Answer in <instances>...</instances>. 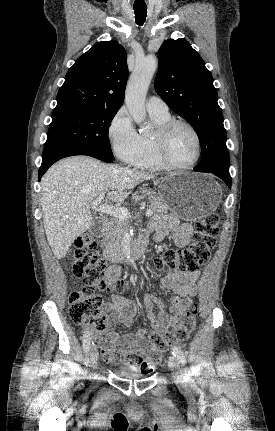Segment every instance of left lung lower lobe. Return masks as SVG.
Returning a JSON list of instances; mask_svg holds the SVG:
<instances>
[{"mask_svg": "<svg viewBox=\"0 0 275 431\" xmlns=\"http://www.w3.org/2000/svg\"><path fill=\"white\" fill-rule=\"evenodd\" d=\"M196 171L199 172H207V173H212L216 176H218L219 178H221L227 185L229 188H231V184H232V180H231V176L229 172L226 171H216V170H210V169H196L194 168Z\"/></svg>", "mask_w": 275, "mask_h": 431, "instance_id": "left-lung-lower-lobe-1", "label": "left lung lower lobe"}]
</instances>
